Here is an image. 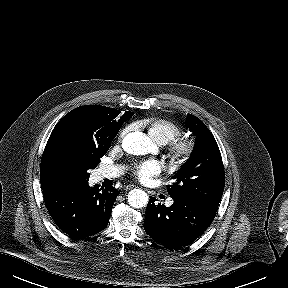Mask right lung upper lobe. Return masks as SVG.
I'll return each mask as SVG.
<instances>
[{
    "instance_id": "obj_1",
    "label": "right lung upper lobe",
    "mask_w": 288,
    "mask_h": 288,
    "mask_svg": "<svg viewBox=\"0 0 288 288\" xmlns=\"http://www.w3.org/2000/svg\"><path fill=\"white\" fill-rule=\"evenodd\" d=\"M119 113V110L98 105L77 107L66 114L58 122L53 129L49 140H51L60 130L70 126L78 129L85 138L93 140L98 134H102L108 119L113 118V122L115 120L117 127L120 129L123 122L126 121V118L129 115L134 114L133 112L126 111V113L119 119ZM45 188L49 187L42 186V189Z\"/></svg>"
}]
</instances>
